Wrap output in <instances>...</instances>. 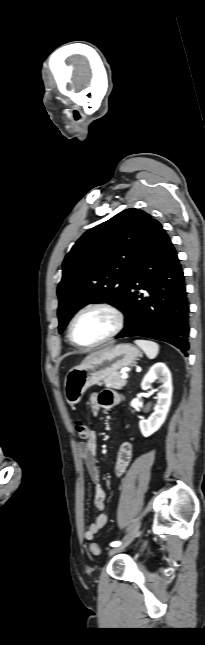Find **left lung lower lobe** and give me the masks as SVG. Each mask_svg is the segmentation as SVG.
I'll return each mask as SVG.
<instances>
[{"instance_id": "1", "label": "left lung lower lobe", "mask_w": 205, "mask_h": 645, "mask_svg": "<svg viewBox=\"0 0 205 645\" xmlns=\"http://www.w3.org/2000/svg\"><path fill=\"white\" fill-rule=\"evenodd\" d=\"M146 290L139 294V290ZM121 311L125 328L116 336H143L168 342L188 356L189 303L182 267L170 238L152 219L130 268Z\"/></svg>"}]
</instances>
